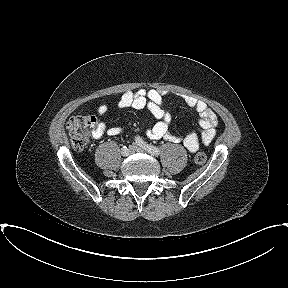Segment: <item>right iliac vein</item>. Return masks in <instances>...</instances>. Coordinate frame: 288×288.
Segmentation results:
<instances>
[{
	"label": "right iliac vein",
	"instance_id": "1",
	"mask_svg": "<svg viewBox=\"0 0 288 288\" xmlns=\"http://www.w3.org/2000/svg\"><path fill=\"white\" fill-rule=\"evenodd\" d=\"M127 149L129 150L128 155H130V154H132V153L134 152L133 146H129ZM128 155H127V156H128Z\"/></svg>",
	"mask_w": 288,
	"mask_h": 288
}]
</instances>
